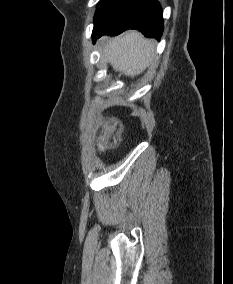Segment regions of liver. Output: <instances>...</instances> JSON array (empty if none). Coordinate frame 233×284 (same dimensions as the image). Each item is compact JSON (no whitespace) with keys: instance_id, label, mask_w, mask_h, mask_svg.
Returning <instances> with one entry per match:
<instances>
[{"instance_id":"obj_1","label":"liver","mask_w":233,"mask_h":284,"mask_svg":"<svg viewBox=\"0 0 233 284\" xmlns=\"http://www.w3.org/2000/svg\"><path fill=\"white\" fill-rule=\"evenodd\" d=\"M103 55L115 71L130 77L142 73L154 57V43L137 31L108 38Z\"/></svg>"}]
</instances>
